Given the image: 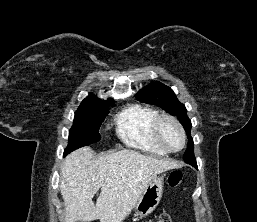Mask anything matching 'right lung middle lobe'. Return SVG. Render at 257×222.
Segmentation results:
<instances>
[{
  "label": "right lung middle lobe",
  "instance_id": "right-lung-middle-lobe-1",
  "mask_svg": "<svg viewBox=\"0 0 257 222\" xmlns=\"http://www.w3.org/2000/svg\"><path fill=\"white\" fill-rule=\"evenodd\" d=\"M110 104H81L75 112L73 126L69 131L68 146L64 156L73 150L100 140L99 128L104 121Z\"/></svg>",
  "mask_w": 257,
  "mask_h": 222
}]
</instances>
